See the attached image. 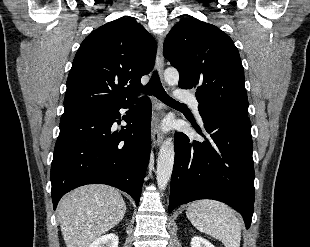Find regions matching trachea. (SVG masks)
<instances>
[{
  "label": "trachea",
  "mask_w": 310,
  "mask_h": 247,
  "mask_svg": "<svg viewBox=\"0 0 310 247\" xmlns=\"http://www.w3.org/2000/svg\"><path fill=\"white\" fill-rule=\"evenodd\" d=\"M144 93L147 95H154L159 100L164 102L168 105H183L182 103H179L178 101L171 98L164 90L157 71H154L152 74V77L148 84L144 88Z\"/></svg>",
  "instance_id": "obj_1"
}]
</instances>
